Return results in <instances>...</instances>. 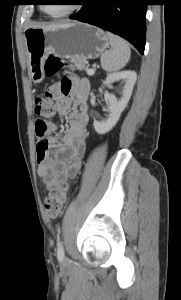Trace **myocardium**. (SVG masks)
<instances>
[{"label": "myocardium", "mask_w": 181, "mask_h": 300, "mask_svg": "<svg viewBox=\"0 0 181 300\" xmlns=\"http://www.w3.org/2000/svg\"><path fill=\"white\" fill-rule=\"evenodd\" d=\"M79 5L78 4H74V5H71L69 9H67L66 11L60 13V14H50L45 6H42V11L49 17L51 18H62V17H66V16H69V15H72L74 12L77 11Z\"/></svg>", "instance_id": "f54148a6"}]
</instances>
